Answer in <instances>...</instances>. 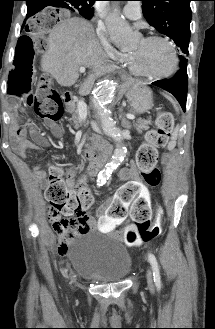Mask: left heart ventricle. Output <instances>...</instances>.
<instances>
[{
  "label": "left heart ventricle",
  "instance_id": "left-heart-ventricle-1",
  "mask_svg": "<svg viewBox=\"0 0 215 329\" xmlns=\"http://www.w3.org/2000/svg\"><path fill=\"white\" fill-rule=\"evenodd\" d=\"M139 58V66L151 74H163L174 66L171 47L164 41L144 42L140 39L131 51Z\"/></svg>",
  "mask_w": 215,
  "mask_h": 329
}]
</instances>
